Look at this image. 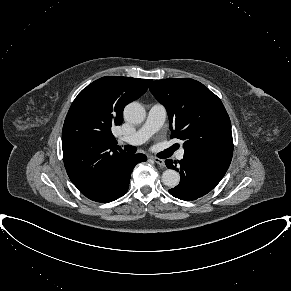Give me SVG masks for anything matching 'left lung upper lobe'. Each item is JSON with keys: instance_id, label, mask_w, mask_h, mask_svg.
<instances>
[{"instance_id": "obj_1", "label": "left lung upper lobe", "mask_w": 291, "mask_h": 291, "mask_svg": "<svg viewBox=\"0 0 291 291\" xmlns=\"http://www.w3.org/2000/svg\"><path fill=\"white\" fill-rule=\"evenodd\" d=\"M150 91L165 106L172 137L184 141L185 152L233 153L229 116L202 83L190 78L156 80Z\"/></svg>"}]
</instances>
